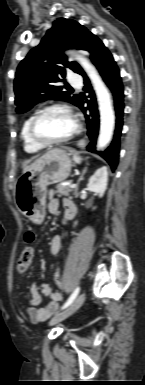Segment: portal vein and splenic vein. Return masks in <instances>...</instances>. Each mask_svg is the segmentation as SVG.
I'll return each mask as SVG.
<instances>
[{"label":"portal vein and splenic vein","instance_id":"18ae733b","mask_svg":"<svg viewBox=\"0 0 145 385\" xmlns=\"http://www.w3.org/2000/svg\"><path fill=\"white\" fill-rule=\"evenodd\" d=\"M76 187V184H71V188H75Z\"/></svg>","mask_w":145,"mask_h":385}]
</instances>
